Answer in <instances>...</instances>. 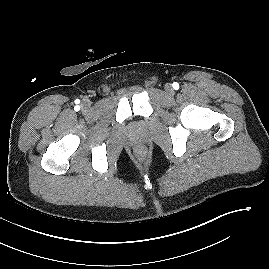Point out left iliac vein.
<instances>
[{
    "label": "left iliac vein",
    "instance_id": "1",
    "mask_svg": "<svg viewBox=\"0 0 269 269\" xmlns=\"http://www.w3.org/2000/svg\"><path fill=\"white\" fill-rule=\"evenodd\" d=\"M165 90L168 94H172L173 93V88L171 86V84H166L165 85Z\"/></svg>",
    "mask_w": 269,
    "mask_h": 269
}]
</instances>
